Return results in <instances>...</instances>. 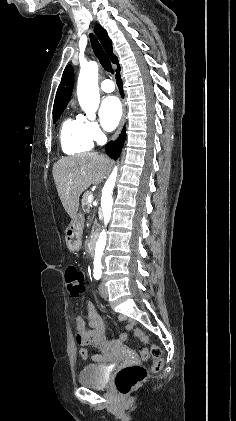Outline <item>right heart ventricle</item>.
Listing matches in <instances>:
<instances>
[{
    "instance_id": "right-heart-ventricle-1",
    "label": "right heart ventricle",
    "mask_w": 236,
    "mask_h": 421,
    "mask_svg": "<svg viewBox=\"0 0 236 421\" xmlns=\"http://www.w3.org/2000/svg\"><path fill=\"white\" fill-rule=\"evenodd\" d=\"M60 145L63 153L70 156L87 153L93 148V140L79 117L66 118L62 122Z\"/></svg>"
}]
</instances>
